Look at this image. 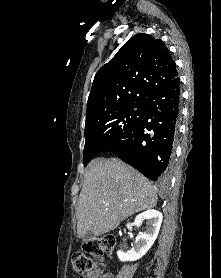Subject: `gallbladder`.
Wrapping results in <instances>:
<instances>
[{
	"instance_id": "bac80fb5",
	"label": "gallbladder",
	"mask_w": 221,
	"mask_h": 278,
	"mask_svg": "<svg viewBox=\"0 0 221 278\" xmlns=\"http://www.w3.org/2000/svg\"><path fill=\"white\" fill-rule=\"evenodd\" d=\"M94 239H95V235H94L91 231L87 232V233L83 236V241H84V242L92 241V240H94Z\"/></svg>"
}]
</instances>
